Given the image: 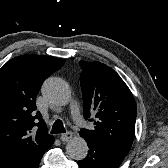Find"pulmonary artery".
Instances as JSON below:
<instances>
[{
	"label": "pulmonary artery",
	"mask_w": 168,
	"mask_h": 168,
	"mask_svg": "<svg viewBox=\"0 0 168 168\" xmlns=\"http://www.w3.org/2000/svg\"><path fill=\"white\" fill-rule=\"evenodd\" d=\"M71 113H72V116L75 120V122L77 124H82L83 123V119H82V116H81V113H80V107H79V104L77 102H74L72 107H71Z\"/></svg>",
	"instance_id": "e3ab8cb5"
}]
</instances>
